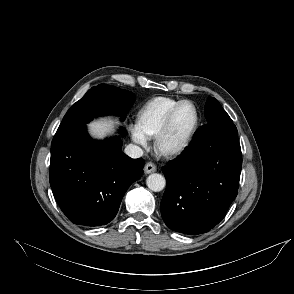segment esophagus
Segmentation results:
<instances>
[{
	"label": "esophagus",
	"instance_id": "esophagus-1",
	"mask_svg": "<svg viewBox=\"0 0 294 294\" xmlns=\"http://www.w3.org/2000/svg\"><path fill=\"white\" fill-rule=\"evenodd\" d=\"M156 171V166L151 163V162H147L144 166V172L145 174H150Z\"/></svg>",
	"mask_w": 294,
	"mask_h": 294
}]
</instances>
